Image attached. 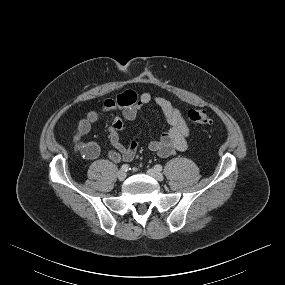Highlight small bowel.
Instances as JSON below:
<instances>
[{
    "label": "small bowel",
    "mask_w": 285,
    "mask_h": 285,
    "mask_svg": "<svg viewBox=\"0 0 285 285\" xmlns=\"http://www.w3.org/2000/svg\"><path fill=\"white\" fill-rule=\"evenodd\" d=\"M152 104L162 111L168 128L158 139L148 144L149 150L160 157H169L177 151H185L188 147L190 128L181 111L164 97L153 96L146 92L137 93L132 90H127L116 98L105 100L99 111L91 110L79 121L73 138L75 150L85 159L97 158L100 153L98 144L83 142L82 139L90 132L92 125L98 122L102 114H111L112 122L107 131L113 150L109 151L108 156L114 162L133 160L137 153L139 140L132 139L128 147L121 144L120 132L124 129L123 120H134L141 107ZM117 111H121V115Z\"/></svg>",
    "instance_id": "small-bowel-1"
}]
</instances>
